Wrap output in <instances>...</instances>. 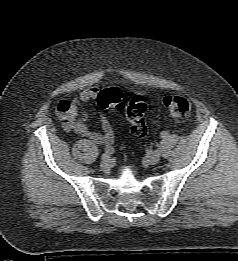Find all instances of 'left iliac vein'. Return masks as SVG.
<instances>
[{"label":"left iliac vein","instance_id":"4c4485c4","mask_svg":"<svg viewBox=\"0 0 238 261\" xmlns=\"http://www.w3.org/2000/svg\"><path fill=\"white\" fill-rule=\"evenodd\" d=\"M160 160V152L158 150L150 152L149 154H147L146 158H145V162L148 165H154L157 164Z\"/></svg>","mask_w":238,"mask_h":261}]
</instances>
